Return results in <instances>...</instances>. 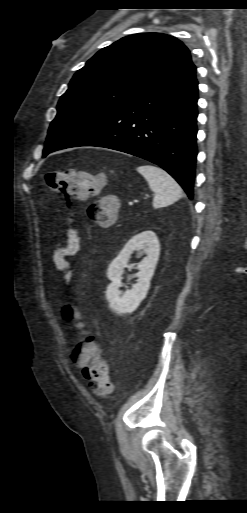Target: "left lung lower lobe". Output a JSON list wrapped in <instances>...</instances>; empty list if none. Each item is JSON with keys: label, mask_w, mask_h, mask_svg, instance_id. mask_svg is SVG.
Returning a JSON list of instances; mask_svg holds the SVG:
<instances>
[{"label": "left lung lower lobe", "mask_w": 247, "mask_h": 513, "mask_svg": "<svg viewBox=\"0 0 247 513\" xmlns=\"http://www.w3.org/2000/svg\"><path fill=\"white\" fill-rule=\"evenodd\" d=\"M196 67L180 73L98 120L53 151L98 146L151 161L173 176L193 198L197 157Z\"/></svg>", "instance_id": "obj_1"}]
</instances>
